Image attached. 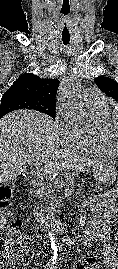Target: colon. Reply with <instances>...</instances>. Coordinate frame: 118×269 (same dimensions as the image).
<instances>
[{
    "label": "colon",
    "mask_w": 118,
    "mask_h": 269,
    "mask_svg": "<svg viewBox=\"0 0 118 269\" xmlns=\"http://www.w3.org/2000/svg\"><path fill=\"white\" fill-rule=\"evenodd\" d=\"M12 190L0 185V218H8L6 238L0 253V269H20L31 257V242L22 233V223L10 216Z\"/></svg>",
    "instance_id": "obj_1"
}]
</instances>
